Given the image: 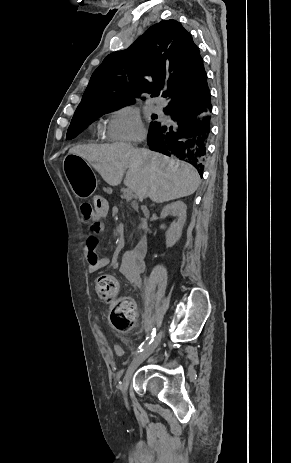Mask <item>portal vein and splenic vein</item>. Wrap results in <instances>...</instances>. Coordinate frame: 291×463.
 <instances>
[{"label":"portal vein and splenic vein","mask_w":291,"mask_h":463,"mask_svg":"<svg viewBox=\"0 0 291 463\" xmlns=\"http://www.w3.org/2000/svg\"><path fill=\"white\" fill-rule=\"evenodd\" d=\"M124 197L127 200H131L134 197L133 191L130 187H127L123 190Z\"/></svg>","instance_id":"18ae733b"}]
</instances>
